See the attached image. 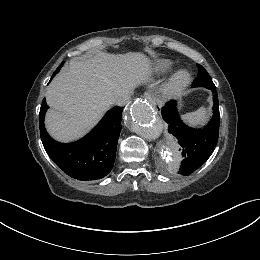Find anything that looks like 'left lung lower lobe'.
<instances>
[{"label":"left lung lower lobe","mask_w":260,"mask_h":260,"mask_svg":"<svg viewBox=\"0 0 260 260\" xmlns=\"http://www.w3.org/2000/svg\"><path fill=\"white\" fill-rule=\"evenodd\" d=\"M213 93L216 87L211 88ZM213 117L202 129H193L184 124L178 115L177 101L168 102L161 110L163 120L168 124V132L180 145L182 156L179 172L190 175L203 165L213 153L219 135L218 95L213 97Z\"/></svg>","instance_id":"left-lung-lower-lobe-1"}]
</instances>
